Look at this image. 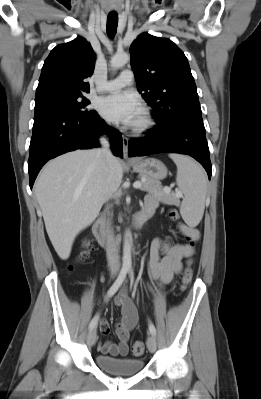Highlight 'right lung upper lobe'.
I'll return each instance as SVG.
<instances>
[{"mask_svg":"<svg viewBox=\"0 0 261 399\" xmlns=\"http://www.w3.org/2000/svg\"><path fill=\"white\" fill-rule=\"evenodd\" d=\"M96 55L82 37L56 46L44 62L35 100L89 92L85 81L94 71Z\"/></svg>","mask_w":261,"mask_h":399,"instance_id":"obj_1","label":"right lung upper lobe"}]
</instances>
